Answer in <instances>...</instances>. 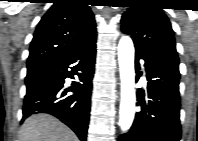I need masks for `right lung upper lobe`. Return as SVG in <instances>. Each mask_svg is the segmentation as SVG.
Here are the masks:
<instances>
[{
	"label": "right lung upper lobe",
	"instance_id": "1",
	"mask_svg": "<svg viewBox=\"0 0 198 141\" xmlns=\"http://www.w3.org/2000/svg\"><path fill=\"white\" fill-rule=\"evenodd\" d=\"M40 20L30 46L27 68L67 54L96 34L85 0H56Z\"/></svg>",
	"mask_w": 198,
	"mask_h": 141
}]
</instances>
